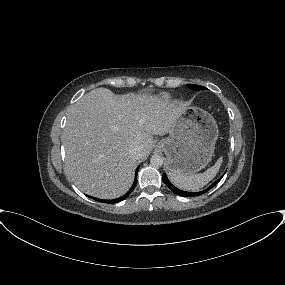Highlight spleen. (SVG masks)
<instances>
[{
  "mask_svg": "<svg viewBox=\"0 0 285 285\" xmlns=\"http://www.w3.org/2000/svg\"><path fill=\"white\" fill-rule=\"evenodd\" d=\"M222 161L223 158L220 157L212 167L200 174L169 173V177L171 181L182 190L198 191L216 176L221 167Z\"/></svg>",
  "mask_w": 285,
  "mask_h": 285,
  "instance_id": "1",
  "label": "spleen"
}]
</instances>
